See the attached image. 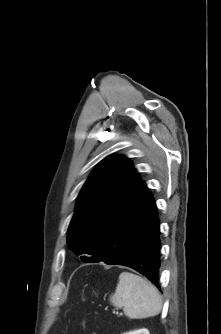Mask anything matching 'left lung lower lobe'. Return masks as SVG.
<instances>
[{"label": "left lung lower lobe", "mask_w": 221, "mask_h": 334, "mask_svg": "<svg viewBox=\"0 0 221 334\" xmlns=\"http://www.w3.org/2000/svg\"><path fill=\"white\" fill-rule=\"evenodd\" d=\"M159 234L155 201L145 183L141 182L102 235L93 262L133 268L160 289Z\"/></svg>", "instance_id": "1"}]
</instances>
